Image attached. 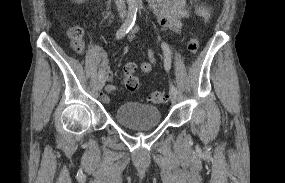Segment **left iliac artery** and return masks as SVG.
Instances as JSON below:
<instances>
[{
  "mask_svg": "<svg viewBox=\"0 0 285 183\" xmlns=\"http://www.w3.org/2000/svg\"><path fill=\"white\" fill-rule=\"evenodd\" d=\"M161 47H162V50L164 53V67L168 71L170 69V65H171V50H170L168 44H166L164 42L161 44ZM170 90L175 92V93H178L177 88L173 84L170 85Z\"/></svg>",
  "mask_w": 285,
  "mask_h": 183,
  "instance_id": "1",
  "label": "left iliac artery"
}]
</instances>
